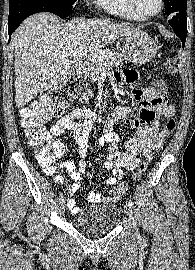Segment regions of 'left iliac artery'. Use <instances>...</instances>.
I'll return each instance as SVG.
<instances>
[{
	"label": "left iliac artery",
	"instance_id": "44dca946",
	"mask_svg": "<svg viewBox=\"0 0 195 270\" xmlns=\"http://www.w3.org/2000/svg\"><path fill=\"white\" fill-rule=\"evenodd\" d=\"M130 206H133V201L131 199L128 200Z\"/></svg>",
	"mask_w": 195,
	"mask_h": 270
}]
</instances>
